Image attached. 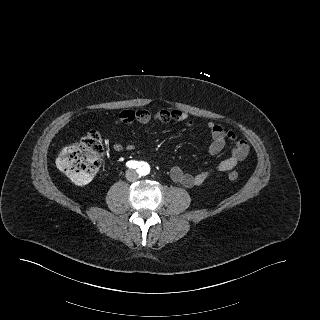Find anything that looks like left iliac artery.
<instances>
[{"instance_id": "44dca946", "label": "left iliac artery", "mask_w": 320, "mask_h": 320, "mask_svg": "<svg viewBox=\"0 0 320 320\" xmlns=\"http://www.w3.org/2000/svg\"><path fill=\"white\" fill-rule=\"evenodd\" d=\"M149 169V167L145 164L143 167H141V171L146 172Z\"/></svg>"}]
</instances>
